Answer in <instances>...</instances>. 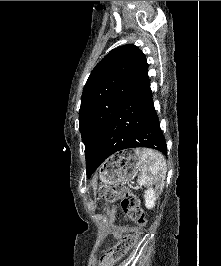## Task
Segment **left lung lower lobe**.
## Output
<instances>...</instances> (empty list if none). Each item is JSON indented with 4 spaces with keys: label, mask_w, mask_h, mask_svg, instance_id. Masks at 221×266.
Returning <instances> with one entry per match:
<instances>
[{
    "label": "left lung lower lobe",
    "mask_w": 221,
    "mask_h": 266,
    "mask_svg": "<svg viewBox=\"0 0 221 266\" xmlns=\"http://www.w3.org/2000/svg\"><path fill=\"white\" fill-rule=\"evenodd\" d=\"M147 147L167 155V145L152 100L147 78L124 100L89 166L88 177L111 155L125 149Z\"/></svg>",
    "instance_id": "obj_1"
}]
</instances>
